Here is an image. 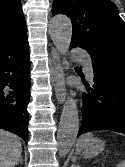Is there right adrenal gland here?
I'll list each match as a JSON object with an SVG mask.
<instances>
[{
	"label": "right adrenal gland",
	"instance_id": "2a0ac1e0",
	"mask_svg": "<svg viewBox=\"0 0 125 167\" xmlns=\"http://www.w3.org/2000/svg\"><path fill=\"white\" fill-rule=\"evenodd\" d=\"M19 163L23 164L22 156L19 157V159H18L16 165L19 164Z\"/></svg>",
	"mask_w": 125,
	"mask_h": 167
}]
</instances>
